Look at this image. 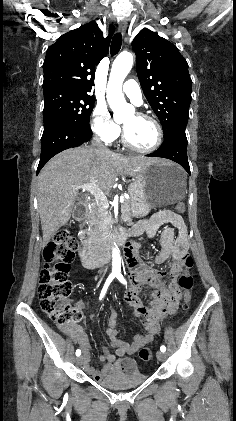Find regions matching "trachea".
Listing matches in <instances>:
<instances>
[{
    "label": "trachea",
    "mask_w": 236,
    "mask_h": 421,
    "mask_svg": "<svg viewBox=\"0 0 236 421\" xmlns=\"http://www.w3.org/2000/svg\"><path fill=\"white\" fill-rule=\"evenodd\" d=\"M121 45H122V35L121 33H116L111 42L110 53L112 57L119 52Z\"/></svg>",
    "instance_id": "trachea-1"
}]
</instances>
